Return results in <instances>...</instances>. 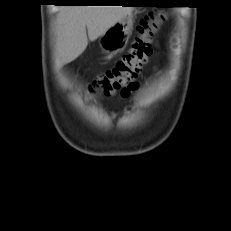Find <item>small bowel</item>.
<instances>
[{
    "label": "small bowel",
    "mask_w": 231,
    "mask_h": 231,
    "mask_svg": "<svg viewBox=\"0 0 231 231\" xmlns=\"http://www.w3.org/2000/svg\"><path fill=\"white\" fill-rule=\"evenodd\" d=\"M138 88V84L136 82H132L128 85H126L125 87H123L120 90V94L122 97L126 98L128 97L133 91L137 90Z\"/></svg>",
    "instance_id": "small-bowel-1"
}]
</instances>
